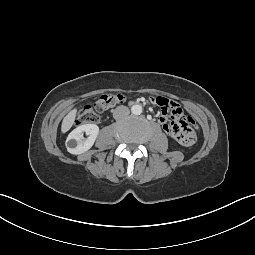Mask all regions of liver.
<instances>
[{"mask_svg":"<svg viewBox=\"0 0 255 255\" xmlns=\"http://www.w3.org/2000/svg\"><path fill=\"white\" fill-rule=\"evenodd\" d=\"M77 109H72L63 119L61 125V132L66 133L70 130L72 125L74 124L75 117H76Z\"/></svg>","mask_w":255,"mask_h":255,"instance_id":"6515ba94","label":"liver"}]
</instances>
